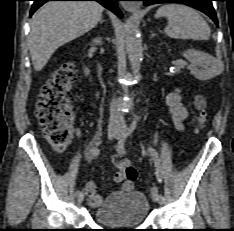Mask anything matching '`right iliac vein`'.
<instances>
[{"instance_id": "obj_1", "label": "right iliac vein", "mask_w": 234, "mask_h": 231, "mask_svg": "<svg viewBox=\"0 0 234 231\" xmlns=\"http://www.w3.org/2000/svg\"><path fill=\"white\" fill-rule=\"evenodd\" d=\"M120 135V132L118 129L116 128H110L108 130V138L109 139H113V138H118V136ZM78 203L81 204L84 200V195L81 194L77 197Z\"/></svg>"}]
</instances>
